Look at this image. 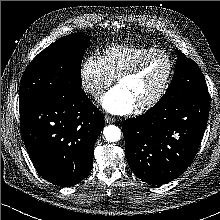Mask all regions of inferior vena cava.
<instances>
[{
  "label": "inferior vena cava",
  "mask_w": 220,
  "mask_h": 220,
  "mask_svg": "<svg viewBox=\"0 0 220 220\" xmlns=\"http://www.w3.org/2000/svg\"><path fill=\"white\" fill-rule=\"evenodd\" d=\"M102 94H103V92L100 91V90H95V91H94V95H95L96 97L101 96Z\"/></svg>",
  "instance_id": "inferior-vena-cava-1"
}]
</instances>
